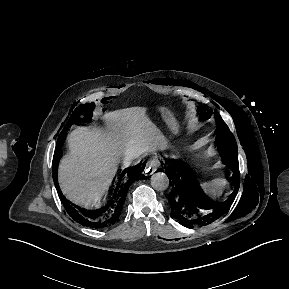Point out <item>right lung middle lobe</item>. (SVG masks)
<instances>
[{"label": "right lung middle lobe", "mask_w": 289, "mask_h": 289, "mask_svg": "<svg viewBox=\"0 0 289 289\" xmlns=\"http://www.w3.org/2000/svg\"><path fill=\"white\" fill-rule=\"evenodd\" d=\"M94 108H95L94 103H88V104H84V105L77 107L72 113V115L70 116L62 132L64 130L68 131V128L72 124L81 122L82 118L84 120H89L92 117V111L94 110Z\"/></svg>", "instance_id": "right-lung-middle-lobe-1"}]
</instances>
